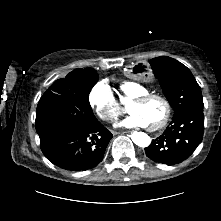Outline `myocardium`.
<instances>
[{
  "label": "myocardium",
  "mask_w": 221,
  "mask_h": 221,
  "mask_svg": "<svg viewBox=\"0 0 221 221\" xmlns=\"http://www.w3.org/2000/svg\"><path fill=\"white\" fill-rule=\"evenodd\" d=\"M154 98L160 99L164 103L166 111H165L164 117L158 124L151 126V127L148 126V129L150 131L160 130L166 126L172 114V106H171L170 101L164 95L158 94V93L144 94L132 100V104L141 105V104H145L146 102Z\"/></svg>",
  "instance_id": "obj_1"
}]
</instances>
